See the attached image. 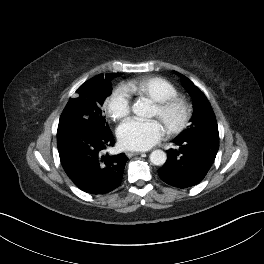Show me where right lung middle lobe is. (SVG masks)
I'll return each mask as SVG.
<instances>
[{"instance_id": "right-lung-middle-lobe-1", "label": "right lung middle lobe", "mask_w": 264, "mask_h": 264, "mask_svg": "<svg viewBox=\"0 0 264 264\" xmlns=\"http://www.w3.org/2000/svg\"><path fill=\"white\" fill-rule=\"evenodd\" d=\"M119 75L121 74L98 75L77 89V97L69 100L61 114L57 130L58 139L67 132L89 124L110 130L103 116L102 106L111 93V79Z\"/></svg>"}]
</instances>
